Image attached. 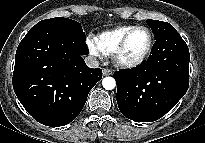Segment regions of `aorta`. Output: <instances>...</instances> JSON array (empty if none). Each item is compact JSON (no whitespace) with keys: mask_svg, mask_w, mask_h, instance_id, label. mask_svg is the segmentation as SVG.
<instances>
[{"mask_svg":"<svg viewBox=\"0 0 205 143\" xmlns=\"http://www.w3.org/2000/svg\"><path fill=\"white\" fill-rule=\"evenodd\" d=\"M103 88L106 90H112L116 86V81L113 77H105L102 80Z\"/></svg>","mask_w":205,"mask_h":143,"instance_id":"obj_1","label":"aorta"}]
</instances>
